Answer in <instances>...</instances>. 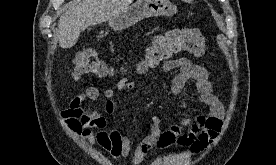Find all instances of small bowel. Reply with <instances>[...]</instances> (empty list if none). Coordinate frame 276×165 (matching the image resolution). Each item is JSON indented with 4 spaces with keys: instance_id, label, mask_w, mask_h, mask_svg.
Returning <instances> with one entry per match:
<instances>
[{
    "instance_id": "c3829d8e",
    "label": "small bowel",
    "mask_w": 276,
    "mask_h": 165,
    "mask_svg": "<svg viewBox=\"0 0 276 165\" xmlns=\"http://www.w3.org/2000/svg\"><path fill=\"white\" fill-rule=\"evenodd\" d=\"M162 68L165 72L178 71L172 80L171 91L176 96H182L183 109L187 107L184 90L189 82H193L200 94V102L210 107V113L195 118L184 115L178 123L172 124L166 130H161L160 119L153 117L152 131L139 141L135 148L133 165H140L153 147L166 149L176 145L188 148L191 153H200L215 141L223 126L224 106L213 94L212 83L204 67L187 58H178L164 62ZM134 88L135 83L124 77L114 88L105 89L103 96L106 99L107 113H113L115 110L113 98L117 92ZM99 96L98 88L88 87L71 101L69 108L62 114L76 125L75 129L91 145H98L115 159L126 157L132 149L130 138L122 136L117 130H107L106 118L82 105L84 100L94 101ZM185 127H189L187 132L183 131Z\"/></svg>"
}]
</instances>
